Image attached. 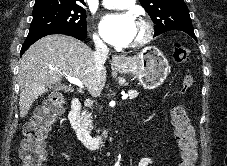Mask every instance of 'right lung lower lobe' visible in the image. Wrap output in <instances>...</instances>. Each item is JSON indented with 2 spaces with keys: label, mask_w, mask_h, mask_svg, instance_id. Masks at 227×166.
I'll use <instances>...</instances> for the list:
<instances>
[{
  "label": "right lung lower lobe",
  "mask_w": 227,
  "mask_h": 166,
  "mask_svg": "<svg viewBox=\"0 0 227 166\" xmlns=\"http://www.w3.org/2000/svg\"><path fill=\"white\" fill-rule=\"evenodd\" d=\"M51 34H65L68 36L75 37L79 40H85L87 33L76 32V31H72V30L54 29V30H48V31L41 32L34 36H28L26 41L22 45L20 54L22 55L30 47V45H32L34 42H36L40 38L47 36V35H51Z\"/></svg>",
  "instance_id": "1"
}]
</instances>
